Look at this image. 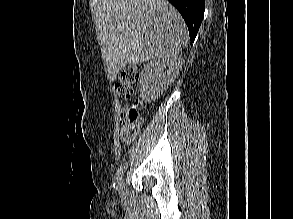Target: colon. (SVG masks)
<instances>
[{"mask_svg":"<svg viewBox=\"0 0 293 219\" xmlns=\"http://www.w3.org/2000/svg\"><path fill=\"white\" fill-rule=\"evenodd\" d=\"M139 80V71L135 66L124 68L119 74L115 84L116 92L123 98H130L134 94L135 88ZM142 103L139 100H133L125 106L122 112L121 121L123 125L131 127L132 130H137L142 124L140 110Z\"/></svg>","mask_w":293,"mask_h":219,"instance_id":"colon-1","label":"colon"}]
</instances>
